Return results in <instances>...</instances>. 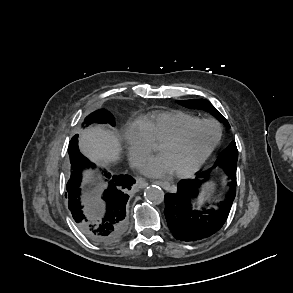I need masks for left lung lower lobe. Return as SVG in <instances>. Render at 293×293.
<instances>
[{
	"mask_svg": "<svg viewBox=\"0 0 293 293\" xmlns=\"http://www.w3.org/2000/svg\"><path fill=\"white\" fill-rule=\"evenodd\" d=\"M236 168L225 169L229 178V195L221 203L219 210L196 211L190 200L197 193L205 173L197 174L195 179L181 181L177 192L166 194L165 217L168 227L175 239L180 241H197L216 233L225 223L236 195Z\"/></svg>",
	"mask_w": 293,
	"mask_h": 293,
	"instance_id": "left-lung-lower-lobe-1",
	"label": "left lung lower lobe"
}]
</instances>
